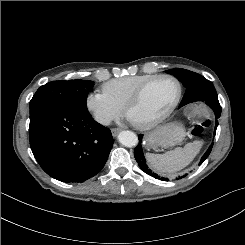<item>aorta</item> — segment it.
<instances>
[{
  "mask_svg": "<svg viewBox=\"0 0 245 245\" xmlns=\"http://www.w3.org/2000/svg\"><path fill=\"white\" fill-rule=\"evenodd\" d=\"M119 142L126 147H133L138 143L137 135L132 131H122L118 135Z\"/></svg>",
  "mask_w": 245,
  "mask_h": 245,
  "instance_id": "1",
  "label": "aorta"
}]
</instances>
